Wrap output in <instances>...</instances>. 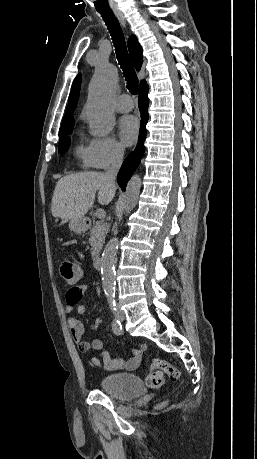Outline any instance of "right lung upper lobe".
Returning a JSON list of instances; mask_svg holds the SVG:
<instances>
[{"label":"right lung upper lobe","instance_id":"right-lung-upper-lobe-1","mask_svg":"<svg viewBox=\"0 0 257 459\" xmlns=\"http://www.w3.org/2000/svg\"><path fill=\"white\" fill-rule=\"evenodd\" d=\"M128 49L130 53L131 60L133 62L134 67L136 70L141 69V65L143 62L142 56V48L138 43L136 36L131 35L128 40ZM143 82V81H142ZM80 83H81V75L79 74L72 86V90L69 96V102L66 109V115L63 118L62 128H60L59 132L73 128L74 119H73V112L76 108L78 97H79V90H80Z\"/></svg>","mask_w":257,"mask_h":459}]
</instances>
